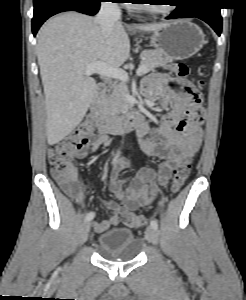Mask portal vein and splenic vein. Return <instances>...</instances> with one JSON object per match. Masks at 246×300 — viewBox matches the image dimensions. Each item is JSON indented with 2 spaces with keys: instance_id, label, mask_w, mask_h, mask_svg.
<instances>
[{
  "instance_id": "portal-vein-and-splenic-vein-1",
  "label": "portal vein and splenic vein",
  "mask_w": 246,
  "mask_h": 300,
  "mask_svg": "<svg viewBox=\"0 0 246 300\" xmlns=\"http://www.w3.org/2000/svg\"><path fill=\"white\" fill-rule=\"evenodd\" d=\"M84 73L87 76L97 73V74L105 76V77L118 79L124 83L128 82V80H129V76L126 71H124L120 68L105 64L101 61H97V62L88 64L84 69ZM146 73H147L146 67L143 65H140L136 71V74L138 76L146 74Z\"/></svg>"
}]
</instances>
